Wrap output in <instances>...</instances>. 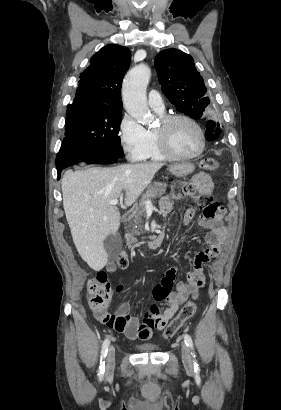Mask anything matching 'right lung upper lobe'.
Here are the masks:
<instances>
[{
    "label": "right lung upper lobe",
    "mask_w": 281,
    "mask_h": 410,
    "mask_svg": "<svg viewBox=\"0 0 281 410\" xmlns=\"http://www.w3.org/2000/svg\"><path fill=\"white\" fill-rule=\"evenodd\" d=\"M130 61L131 53L127 47H103L81 74L74 101L69 106L88 105L122 110L121 85Z\"/></svg>",
    "instance_id": "1"
}]
</instances>
